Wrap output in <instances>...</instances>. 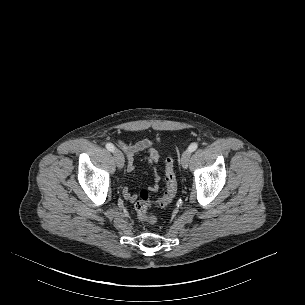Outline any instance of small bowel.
Here are the masks:
<instances>
[{
	"instance_id": "small-bowel-1",
	"label": "small bowel",
	"mask_w": 305,
	"mask_h": 305,
	"mask_svg": "<svg viewBox=\"0 0 305 305\" xmlns=\"http://www.w3.org/2000/svg\"><path fill=\"white\" fill-rule=\"evenodd\" d=\"M121 148L124 150V152L127 154L128 164H127V170L132 171L135 168V158L139 154L144 153L145 158L147 162L153 167L154 171V183L151 187L153 191H157L159 189V181L160 177L156 172L155 164L159 161V154L158 152L153 148L154 141L148 138H144L139 140L138 142L134 144H126L123 142H119ZM123 196L126 200L129 202H134L137 199V195L135 193H132L128 187H125L123 189Z\"/></svg>"
}]
</instances>
